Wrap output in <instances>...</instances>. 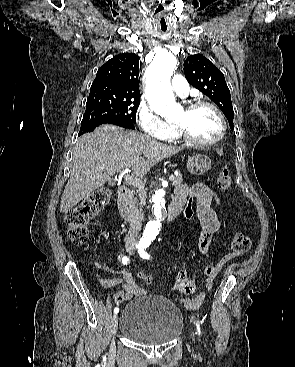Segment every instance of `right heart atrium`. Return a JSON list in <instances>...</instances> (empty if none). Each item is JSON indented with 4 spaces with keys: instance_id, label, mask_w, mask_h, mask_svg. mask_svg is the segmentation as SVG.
<instances>
[{
    "instance_id": "d8ad5b80",
    "label": "right heart atrium",
    "mask_w": 295,
    "mask_h": 367,
    "mask_svg": "<svg viewBox=\"0 0 295 367\" xmlns=\"http://www.w3.org/2000/svg\"><path fill=\"white\" fill-rule=\"evenodd\" d=\"M136 117L140 128L152 137L170 139L176 132L175 127L164 121L150 105L142 103Z\"/></svg>"
}]
</instances>
